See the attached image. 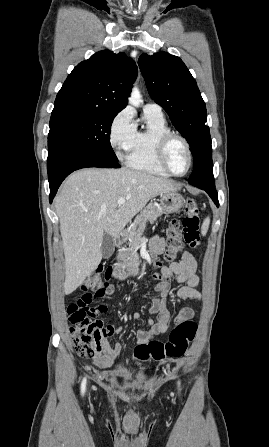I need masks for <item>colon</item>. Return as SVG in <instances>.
<instances>
[{"mask_svg":"<svg viewBox=\"0 0 269 447\" xmlns=\"http://www.w3.org/2000/svg\"><path fill=\"white\" fill-rule=\"evenodd\" d=\"M184 212L185 217L182 220L173 219L168 225L165 237L168 249L161 259L162 263L175 262L184 244L196 247L200 243V207L195 201L187 200L184 202ZM82 289L85 291V296L76 304L68 306L67 314L72 324L70 332L74 346L80 356L88 358L102 350L103 339L113 336L110 331L111 323L95 318L107 311L104 305L96 306L97 299L112 294L115 287L111 286L105 273H94L84 280ZM196 332L197 326L193 321L178 322L169 332L166 342L136 346L133 351V362L139 365V362L146 360L180 358L186 353L188 344L194 339Z\"/></svg>","mask_w":269,"mask_h":447,"instance_id":"1","label":"colon"}]
</instances>
